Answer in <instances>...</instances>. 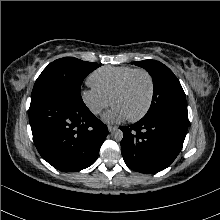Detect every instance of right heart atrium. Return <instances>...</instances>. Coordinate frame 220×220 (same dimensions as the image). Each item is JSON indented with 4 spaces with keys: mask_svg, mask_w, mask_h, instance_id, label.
I'll return each mask as SVG.
<instances>
[{
    "mask_svg": "<svg viewBox=\"0 0 220 220\" xmlns=\"http://www.w3.org/2000/svg\"><path fill=\"white\" fill-rule=\"evenodd\" d=\"M81 100L94 115L100 114L110 104V98L92 86L81 91Z\"/></svg>",
    "mask_w": 220,
    "mask_h": 220,
    "instance_id": "1",
    "label": "right heart atrium"
}]
</instances>
